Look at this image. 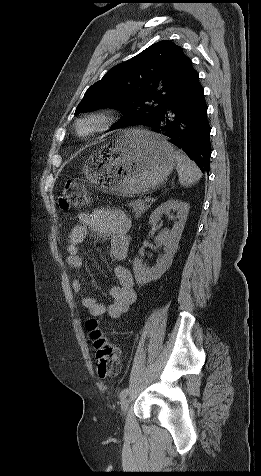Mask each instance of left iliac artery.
<instances>
[{
  "label": "left iliac artery",
  "instance_id": "left-iliac-artery-1",
  "mask_svg": "<svg viewBox=\"0 0 261 476\" xmlns=\"http://www.w3.org/2000/svg\"><path fill=\"white\" fill-rule=\"evenodd\" d=\"M128 392H129L128 388H124V389L120 392L119 397H120V398L125 397V396L128 394Z\"/></svg>",
  "mask_w": 261,
  "mask_h": 476
}]
</instances>
